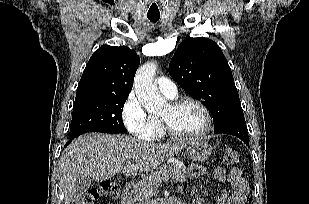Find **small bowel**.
Returning <instances> with one entry per match:
<instances>
[{
  "instance_id": "obj_1",
  "label": "small bowel",
  "mask_w": 309,
  "mask_h": 204,
  "mask_svg": "<svg viewBox=\"0 0 309 204\" xmlns=\"http://www.w3.org/2000/svg\"><path fill=\"white\" fill-rule=\"evenodd\" d=\"M191 171L193 175L202 173V169L199 167L192 168ZM213 177L218 181L230 182L233 188L231 194H220L217 204H245L248 197L249 184L242 176L239 168L216 167L213 170Z\"/></svg>"
}]
</instances>
